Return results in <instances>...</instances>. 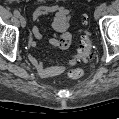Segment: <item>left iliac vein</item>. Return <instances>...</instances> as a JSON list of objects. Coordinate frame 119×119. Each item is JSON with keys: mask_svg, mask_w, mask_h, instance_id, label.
Wrapping results in <instances>:
<instances>
[{"mask_svg": "<svg viewBox=\"0 0 119 119\" xmlns=\"http://www.w3.org/2000/svg\"><path fill=\"white\" fill-rule=\"evenodd\" d=\"M102 8L101 7H98L96 10H95V12H94V17H95V19H98L100 16H101V14H102Z\"/></svg>", "mask_w": 119, "mask_h": 119, "instance_id": "left-iliac-vein-1", "label": "left iliac vein"}]
</instances>
